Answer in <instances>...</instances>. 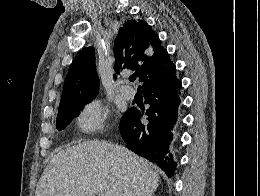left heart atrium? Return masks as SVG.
Listing matches in <instances>:
<instances>
[{
  "label": "left heart atrium",
  "instance_id": "1",
  "mask_svg": "<svg viewBox=\"0 0 260 196\" xmlns=\"http://www.w3.org/2000/svg\"><path fill=\"white\" fill-rule=\"evenodd\" d=\"M109 192H122V190H109Z\"/></svg>",
  "mask_w": 260,
  "mask_h": 196
}]
</instances>
